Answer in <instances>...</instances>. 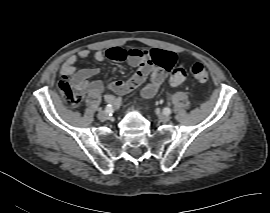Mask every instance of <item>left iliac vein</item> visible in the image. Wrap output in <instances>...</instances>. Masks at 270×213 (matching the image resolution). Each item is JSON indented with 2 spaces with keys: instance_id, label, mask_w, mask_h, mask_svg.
I'll use <instances>...</instances> for the list:
<instances>
[{
  "instance_id": "obj_1",
  "label": "left iliac vein",
  "mask_w": 270,
  "mask_h": 213,
  "mask_svg": "<svg viewBox=\"0 0 270 213\" xmlns=\"http://www.w3.org/2000/svg\"><path fill=\"white\" fill-rule=\"evenodd\" d=\"M158 118L162 121V122H168L170 120V116L159 112L158 113Z\"/></svg>"
}]
</instances>
